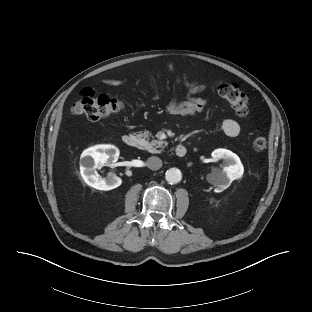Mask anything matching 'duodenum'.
<instances>
[{
    "mask_svg": "<svg viewBox=\"0 0 312 312\" xmlns=\"http://www.w3.org/2000/svg\"><path fill=\"white\" fill-rule=\"evenodd\" d=\"M122 141L127 147H135L137 145V137L134 134H126L123 136ZM187 148L183 144H179L175 147V154L179 157L185 156Z\"/></svg>",
    "mask_w": 312,
    "mask_h": 312,
    "instance_id": "duodenum-1",
    "label": "duodenum"
}]
</instances>
